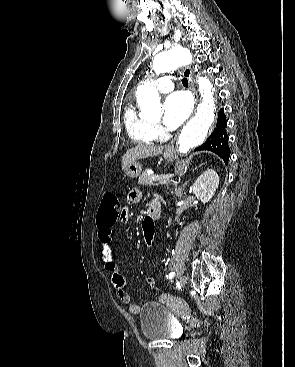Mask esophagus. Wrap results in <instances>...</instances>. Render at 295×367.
<instances>
[{"instance_id":"34e87169","label":"esophagus","mask_w":295,"mask_h":367,"mask_svg":"<svg viewBox=\"0 0 295 367\" xmlns=\"http://www.w3.org/2000/svg\"><path fill=\"white\" fill-rule=\"evenodd\" d=\"M182 73L188 79L189 88L192 91L194 102H195V109H196V106L198 103V95H197V92L194 86L192 69L190 67H184L182 70ZM195 109H194V112H195ZM174 141H175V138L171 141L170 145H168V147L166 148L167 152H171L174 150Z\"/></svg>"}]
</instances>
